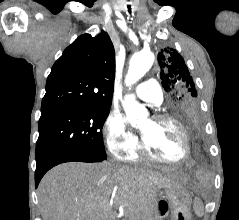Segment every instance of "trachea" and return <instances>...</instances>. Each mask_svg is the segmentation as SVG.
I'll return each mask as SVG.
<instances>
[{"label": "trachea", "mask_w": 239, "mask_h": 220, "mask_svg": "<svg viewBox=\"0 0 239 220\" xmlns=\"http://www.w3.org/2000/svg\"><path fill=\"white\" fill-rule=\"evenodd\" d=\"M128 9H129V12H130V10H131L130 5H128Z\"/></svg>", "instance_id": "obj_1"}]
</instances>
